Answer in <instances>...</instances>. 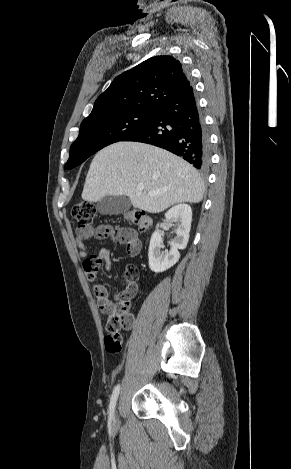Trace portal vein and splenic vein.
<instances>
[{"label":"portal vein and splenic vein","mask_w":291,"mask_h":469,"mask_svg":"<svg viewBox=\"0 0 291 469\" xmlns=\"http://www.w3.org/2000/svg\"><path fill=\"white\" fill-rule=\"evenodd\" d=\"M136 188H137V190L142 191V190H144V185H143V184H138V185L136 186ZM148 194H149L150 196H153V195L156 194V192L149 191Z\"/></svg>","instance_id":"portal-vein-and-splenic-vein-1"}]
</instances>
